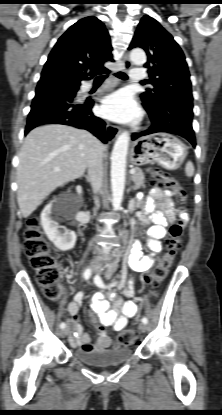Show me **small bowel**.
<instances>
[{
    "mask_svg": "<svg viewBox=\"0 0 222 415\" xmlns=\"http://www.w3.org/2000/svg\"><path fill=\"white\" fill-rule=\"evenodd\" d=\"M177 217L188 219L187 214L175 206L172 193L160 187L151 188L139 213V218L143 223L151 224L147 229L146 240L150 254L143 255L141 243L135 242L128 261L133 270L144 273L153 267L155 255L162 251L160 240L166 236L169 222L175 221ZM100 288L101 290L95 293L92 298L93 312L99 318L102 327H113L116 331L123 330L128 319L136 316L137 305L132 300H124L117 292L105 289L107 287ZM121 291L125 298H132L134 296L133 282L130 281L126 286H122ZM83 297L82 291L77 292L67 306L70 316L68 322L71 328L70 343L72 347L80 350L105 351L110 347L111 338L104 328H100L97 342L93 344L89 334L83 331V327L79 323L78 314Z\"/></svg>",
    "mask_w": 222,
    "mask_h": 415,
    "instance_id": "c3829d8e",
    "label": "small bowel"
}]
</instances>
